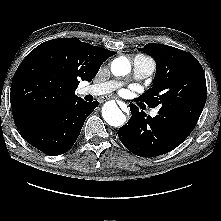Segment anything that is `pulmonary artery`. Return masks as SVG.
I'll return each instance as SVG.
<instances>
[{"label":"pulmonary artery","mask_w":221,"mask_h":221,"mask_svg":"<svg viewBox=\"0 0 221 221\" xmlns=\"http://www.w3.org/2000/svg\"><path fill=\"white\" fill-rule=\"evenodd\" d=\"M156 69V63L151 58L143 55H136L133 60V75L137 80H143L153 74ZM122 85L121 82L110 80L104 83L89 85L84 87L81 92L82 94L90 95H105L113 92ZM158 114V109L151 112V116L155 117Z\"/></svg>","instance_id":"pulmonary-artery-1"}]
</instances>
